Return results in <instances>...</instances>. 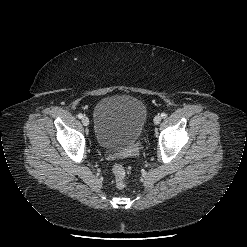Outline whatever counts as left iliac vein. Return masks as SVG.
<instances>
[{
  "label": "left iliac vein",
  "instance_id": "obj_1",
  "mask_svg": "<svg viewBox=\"0 0 247 247\" xmlns=\"http://www.w3.org/2000/svg\"><path fill=\"white\" fill-rule=\"evenodd\" d=\"M160 122H161V116L160 115L155 116L154 117V123L156 125H158V124H160Z\"/></svg>",
  "mask_w": 247,
  "mask_h": 247
}]
</instances>
